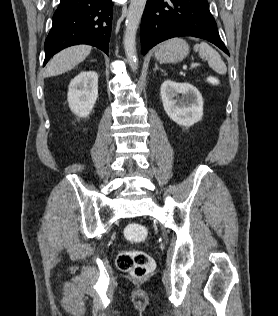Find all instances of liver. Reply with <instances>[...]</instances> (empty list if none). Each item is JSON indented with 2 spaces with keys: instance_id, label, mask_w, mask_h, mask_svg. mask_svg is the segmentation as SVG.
Returning a JSON list of instances; mask_svg holds the SVG:
<instances>
[{
  "instance_id": "6515ba94",
  "label": "liver",
  "mask_w": 278,
  "mask_h": 316,
  "mask_svg": "<svg viewBox=\"0 0 278 316\" xmlns=\"http://www.w3.org/2000/svg\"><path fill=\"white\" fill-rule=\"evenodd\" d=\"M91 49V46L88 45H77L59 52L48 63L45 77L57 76L73 69L86 59Z\"/></svg>"
}]
</instances>
